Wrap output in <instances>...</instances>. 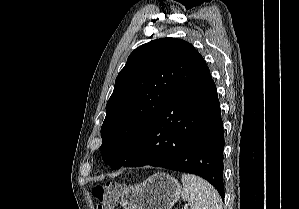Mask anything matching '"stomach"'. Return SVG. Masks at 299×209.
<instances>
[{
	"label": "stomach",
	"instance_id": "0dacf381",
	"mask_svg": "<svg viewBox=\"0 0 299 209\" xmlns=\"http://www.w3.org/2000/svg\"><path fill=\"white\" fill-rule=\"evenodd\" d=\"M182 192L177 179L166 173H155L144 182L128 187L121 195L124 209H171Z\"/></svg>",
	"mask_w": 299,
	"mask_h": 209
}]
</instances>
